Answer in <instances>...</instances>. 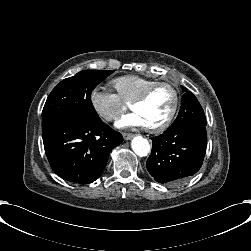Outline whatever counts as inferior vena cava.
Returning a JSON list of instances; mask_svg holds the SVG:
<instances>
[{
  "label": "inferior vena cava",
  "mask_w": 251,
  "mask_h": 251,
  "mask_svg": "<svg viewBox=\"0 0 251 251\" xmlns=\"http://www.w3.org/2000/svg\"><path fill=\"white\" fill-rule=\"evenodd\" d=\"M120 117H121L120 114H112V115H111V118H112V119H115V120H116V119H120Z\"/></svg>",
  "instance_id": "1"
}]
</instances>
